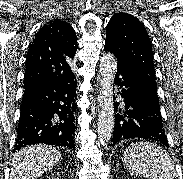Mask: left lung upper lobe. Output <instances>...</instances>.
I'll list each match as a JSON object with an SVG mask.
<instances>
[{
    "instance_id": "obj_1",
    "label": "left lung upper lobe",
    "mask_w": 183,
    "mask_h": 179,
    "mask_svg": "<svg viewBox=\"0 0 183 179\" xmlns=\"http://www.w3.org/2000/svg\"><path fill=\"white\" fill-rule=\"evenodd\" d=\"M104 49L137 74L151 99L159 106L151 41L143 24L130 14H115L107 24Z\"/></svg>"
}]
</instances>
